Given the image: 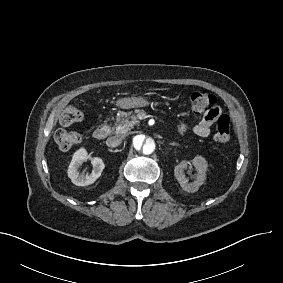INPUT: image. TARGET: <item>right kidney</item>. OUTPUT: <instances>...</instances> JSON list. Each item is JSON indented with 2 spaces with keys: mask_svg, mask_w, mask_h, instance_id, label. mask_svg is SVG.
I'll use <instances>...</instances> for the list:
<instances>
[{
  "mask_svg": "<svg viewBox=\"0 0 283 283\" xmlns=\"http://www.w3.org/2000/svg\"><path fill=\"white\" fill-rule=\"evenodd\" d=\"M89 160L93 166V170L90 174H80L82 164ZM105 168V163L100 157H93L84 150H79L73 156V159L69 165L68 177L72 183L77 186H86L93 184L100 176Z\"/></svg>",
  "mask_w": 283,
  "mask_h": 283,
  "instance_id": "obj_1",
  "label": "right kidney"
}]
</instances>
